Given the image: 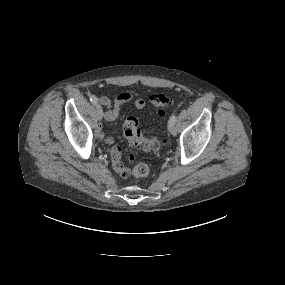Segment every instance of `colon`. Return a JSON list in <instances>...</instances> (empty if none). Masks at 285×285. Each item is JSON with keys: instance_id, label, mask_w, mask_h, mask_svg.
Segmentation results:
<instances>
[{"instance_id": "1", "label": "colon", "mask_w": 285, "mask_h": 285, "mask_svg": "<svg viewBox=\"0 0 285 285\" xmlns=\"http://www.w3.org/2000/svg\"><path fill=\"white\" fill-rule=\"evenodd\" d=\"M150 102L159 114H164L173 105V99L163 93L151 95ZM123 133L130 144L146 152L158 153L163 144L159 136H147L141 129L138 119L134 116L125 119ZM129 158L133 161L134 155L131 154ZM149 172V167L144 163H139L132 169V174L136 177H146Z\"/></svg>"}]
</instances>
